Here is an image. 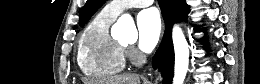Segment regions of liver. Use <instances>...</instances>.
<instances>
[{
    "label": "liver",
    "mask_w": 260,
    "mask_h": 84,
    "mask_svg": "<svg viewBox=\"0 0 260 84\" xmlns=\"http://www.w3.org/2000/svg\"><path fill=\"white\" fill-rule=\"evenodd\" d=\"M140 84V78L135 74L119 75L115 77L103 78L98 81H86V84Z\"/></svg>",
    "instance_id": "obj_1"
}]
</instances>
